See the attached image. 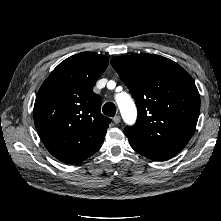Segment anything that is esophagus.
Segmentation results:
<instances>
[{
  "instance_id": "1",
  "label": "esophagus",
  "mask_w": 221,
  "mask_h": 221,
  "mask_svg": "<svg viewBox=\"0 0 221 221\" xmlns=\"http://www.w3.org/2000/svg\"><path fill=\"white\" fill-rule=\"evenodd\" d=\"M120 121H121V117H120L119 115H116V116L113 118V122H114L115 124L120 123Z\"/></svg>"
}]
</instances>
